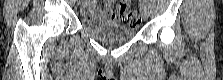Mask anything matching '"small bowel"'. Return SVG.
Segmentation results:
<instances>
[{"label": "small bowel", "mask_w": 223, "mask_h": 80, "mask_svg": "<svg viewBox=\"0 0 223 80\" xmlns=\"http://www.w3.org/2000/svg\"><path fill=\"white\" fill-rule=\"evenodd\" d=\"M114 9L115 6H113L112 1H107L104 8L98 7L93 3H87L82 9V14L85 17L93 19H107L110 21H117L121 17L115 13Z\"/></svg>", "instance_id": "c3829d8e"}]
</instances>
